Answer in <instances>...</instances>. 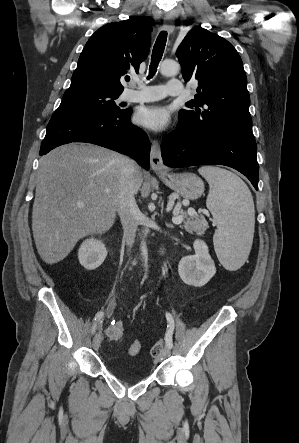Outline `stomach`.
I'll return each instance as SVG.
<instances>
[{"label":"stomach","mask_w":299,"mask_h":443,"mask_svg":"<svg viewBox=\"0 0 299 443\" xmlns=\"http://www.w3.org/2000/svg\"><path fill=\"white\" fill-rule=\"evenodd\" d=\"M163 183L185 199H198L204 192V183L193 173H159Z\"/></svg>","instance_id":"obj_1"}]
</instances>
